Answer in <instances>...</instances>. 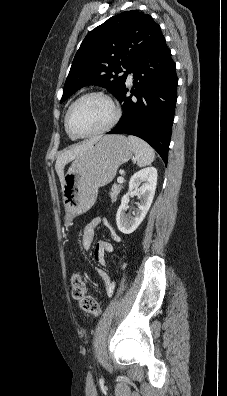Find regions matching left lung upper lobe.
Segmentation results:
<instances>
[{
	"instance_id": "1",
	"label": "left lung upper lobe",
	"mask_w": 227,
	"mask_h": 396,
	"mask_svg": "<svg viewBox=\"0 0 227 396\" xmlns=\"http://www.w3.org/2000/svg\"><path fill=\"white\" fill-rule=\"evenodd\" d=\"M162 36L152 17L138 10L109 18L83 40L66 79L61 103L87 85L105 87L117 98L131 67ZM123 69L127 72L120 75Z\"/></svg>"
}]
</instances>
